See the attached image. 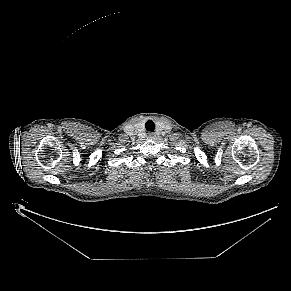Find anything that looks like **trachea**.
Listing matches in <instances>:
<instances>
[{"instance_id":"trachea-1","label":"trachea","mask_w":291,"mask_h":291,"mask_svg":"<svg viewBox=\"0 0 291 291\" xmlns=\"http://www.w3.org/2000/svg\"><path fill=\"white\" fill-rule=\"evenodd\" d=\"M145 128H146L147 131H149V132H153L154 129H155V124H154V122H153L152 120H148V121L146 122V124H145Z\"/></svg>"}]
</instances>
